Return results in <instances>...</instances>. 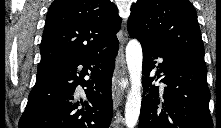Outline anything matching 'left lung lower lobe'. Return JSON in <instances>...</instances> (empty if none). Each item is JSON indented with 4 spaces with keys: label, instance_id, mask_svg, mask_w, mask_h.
<instances>
[{
    "label": "left lung lower lobe",
    "instance_id": "0a47b994",
    "mask_svg": "<svg viewBox=\"0 0 221 128\" xmlns=\"http://www.w3.org/2000/svg\"><path fill=\"white\" fill-rule=\"evenodd\" d=\"M141 45L143 87L150 92L142 99L139 128H212L205 63L164 45ZM157 58L163 61L150 77ZM156 76L162 77L164 87L152 84Z\"/></svg>",
    "mask_w": 221,
    "mask_h": 128
}]
</instances>
